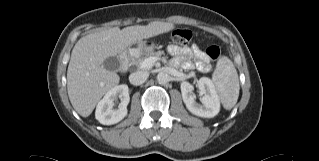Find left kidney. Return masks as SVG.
I'll use <instances>...</instances> for the list:
<instances>
[{"instance_id": "5707ae66", "label": "left kidney", "mask_w": 319, "mask_h": 161, "mask_svg": "<svg viewBox=\"0 0 319 161\" xmlns=\"http://www.w3.org/2000/svg\"><path fill=\"white\" fill-rule=\"evenodd\" d=\"M198 88L202 96V104L195 101L193 86L189 82L181 83V93L187 109L194 115L204 118H212L220 111V100L212 81L202 77L198 81Z\"/></svg>"}]
</instances>
